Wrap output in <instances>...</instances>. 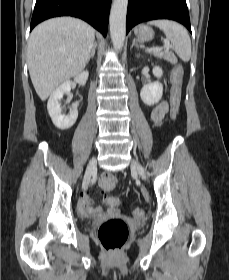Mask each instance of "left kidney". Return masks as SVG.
Here are the masks:
<instances>
[{"mask_svg": "<svg viewBox=\"0 0 229 280\" xmlns=\"http://www.w3.org/2000/svg\"><path fill=\"white\" fill-rule=\"evenodd\" d=\"M153 74L161 78L163 71L159 66L153 68ZM163 94V85L159 81L146 84L140 92V97L146 105H154L159 102Z\"/></svg>", "mask_w": 229, "mask_h": 280, "instance_id": "5707ae66", "label": "left kidney"}]
</instances>
